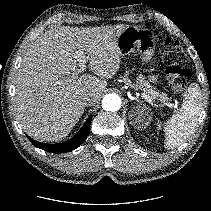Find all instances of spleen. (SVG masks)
I'll use <instances>...</instances> for the list:
<instances>
[{
  "instance_id": "spleen-1",
  "label": "spleen",
  "mask_w": 211,
  "mask_h": 211,
  "mask_svg": "<svg viewBox=\"0 0 211 211\" xmlns=\"http://www.w3.org/2000/svg\"><path fill=\"white\" fill-rule=\"evenodd\" d=\"M203 96L197 83H192L184 94L181 108L165 124V148L174 149L194 132L202 111Z\"/></svg>"
}]
</instances>
